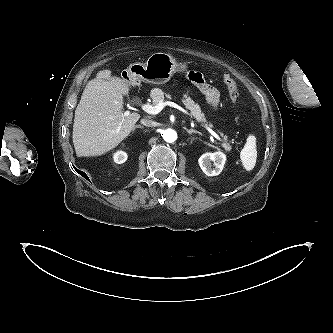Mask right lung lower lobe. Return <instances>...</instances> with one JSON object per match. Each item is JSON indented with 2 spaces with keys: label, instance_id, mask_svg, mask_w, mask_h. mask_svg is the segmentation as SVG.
<instances>
[{
  "label": "right lung lower lobe",
  "instance_id": "1",
  "mask_svg": "<svg viewBox=\"0 0 333 333\" xmlns=\"http://www.w3.org/2000/svg\"><path fill=\"white\" fill-rule=\"evenodd\" d=\"M80 175H82L84 178H86L87 180H89L88 179V176L83 172V171H80V170H78V169H75Z\"/></svg>",
  "mask_w": 333,
  "mask_h": 333
}]
</instances>
